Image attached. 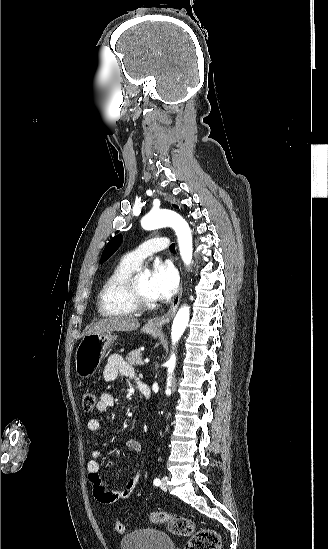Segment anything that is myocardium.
<instances>
[{
	"instance_id": "f54148a6",
	"label": "myocardium",
	"mask_w": 328,
	"mask_h": 549,
	"mask_svg": "<svg viewBox=\"0 0 328 549\" xmlns=\"http://www.w3.org/2000/svg\"><path fill=\"white\" fill-rule=\"evenodd\" d=\"M152 263H140L137 269L128 275L123 281L119 295L125 304L119 305L118 308L132 314L142 313L152 308L153 300H147L140 296L137 290V280L145 269Z\"/></svg>"
}]
</instances>
